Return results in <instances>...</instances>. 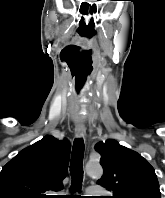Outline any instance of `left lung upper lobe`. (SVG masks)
<instances>
[{"label":"left lung upper lobe","mask_w":165,"mask_h":198,"mask_svg":"<svg viewBox=\"0 0 165 198\" xmlns=\"http://www.w3.org/2000/svg\"><path fill=\"white\" fill-rule=\"evenodd\" d=\"M96 150L104 170L98 184L113 192L111 198H161L155 171L140 154L112 139Z\"/></svg>","instance_id":"left-lung-upper-lobe-1"}]
</instances>
